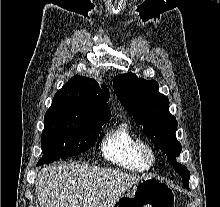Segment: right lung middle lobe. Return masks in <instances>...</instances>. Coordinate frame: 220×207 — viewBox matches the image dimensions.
<instances>
[{
	"instance_id": "dd1d6c3e",
	"label": "right lung middle lobe",
	"mask_w": 220,
	"mask_h": 207,
	"mask_svg": "<svg viewBox=\"0 0 220 207\" xmlns=\"http://www.w3.org/2000/svg\"><path fill=\"white\" fill-rule=\"evenodd\" d=\"M107 121L82 109L74 101L54 98L44 117L43 156L37 165L87 151L95 144L102 125Z\"/></svg>"
}]
</instances>
